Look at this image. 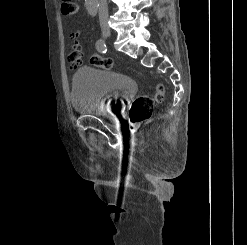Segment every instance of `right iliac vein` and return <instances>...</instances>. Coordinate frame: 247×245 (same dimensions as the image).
<instances>
[{
    "label": "right iliac vein",
    "mask_w": 247,
    "mask_h": 245,
    "mask_svg": "<svg viewBox=\"0 0 247 245\" xmlns=\"http://www.w3.org/2000/svg\"><path fill=\"white\" fill-rule=\"evenodd\" d=\"M102 34H103V36L104 37H110L111 36V30H110V28L109 27H107V26H103L102 27Z\"/></svg>",
    "instance_id": "1"
}]
</instances>
